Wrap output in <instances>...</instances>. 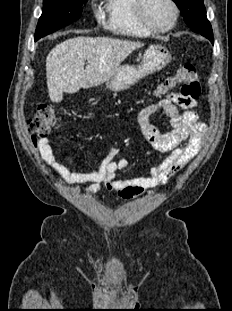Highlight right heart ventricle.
Here are the masks:
<instances>
[{
	"instance_id": "e07e8e85",
	"label": "right heart ventricle",
	"mask_w": 232,
	"mask_h": 311,
	"mask_svg": "<svg viewBox=\"0 0 232 311\" xmlns=\"http://www.w3.org/2000/svg\"><path fill=\"white\" fill-rule=\"evenodd\" d=\"M135 0H106L105 26L107 29L127 37H145L151 34L142 27L134 12Z\"/></svg>"
}]
</instances>
